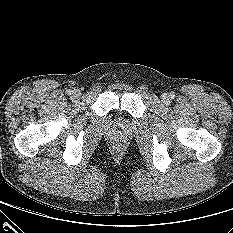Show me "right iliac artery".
I'll return each mask as SVG.
<instances>
[{"mask_svg": "<svg viewBox=\"0 0 233 233\" xmlns=\"http://www.w3.org/2000/svg\"><path fill=\"white\" fill-rule=\"evenodd\" d=\"M66 93H67L68 95H72V90H67Z\"/></svg>", "mask_w": 233, "mask_h": 233, "instance_id": "right-iliac-artery-1", "label": "right iliac artery"}]
</instances>
